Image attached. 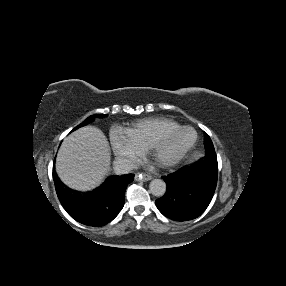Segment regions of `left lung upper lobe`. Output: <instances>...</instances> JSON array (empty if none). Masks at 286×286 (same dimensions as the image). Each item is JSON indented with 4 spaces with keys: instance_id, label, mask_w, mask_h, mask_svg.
Returning <instances> with one entry per match:
<instances>
[{
    "instance_id": "5c2ea615",
    "label": "left lung upper lobe",
    "mask_w": 286,
    "mask_h": 286,
    "mask_svg": "<svg viewBox=\"0 0 286 286\" xmlns=\"http://www.w3.org/2000/svg\"><path fill=\"white\" fill-rule=\"evenodd\" d=\"M204 146L206 149V153L215 152L213 143L207 133H205Z\"/></svg>"
}]
</instances>
